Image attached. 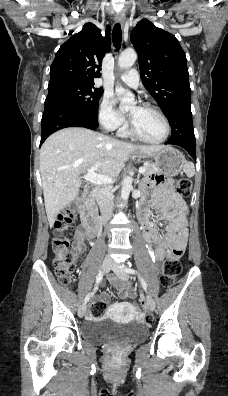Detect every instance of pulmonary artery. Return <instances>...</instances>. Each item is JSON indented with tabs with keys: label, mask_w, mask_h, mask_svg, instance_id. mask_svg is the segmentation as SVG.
I'll return each mask as SVG.
<instances>
[{
	"label": "pulmonary artery",
	"mask_w": 228,
	"mask_h": 396,
	"mask_svg": "<svg viewBox=\"0 0 228 396\" xmlns=\"http://www.w3.org/2000/svg\"><path fill=\"white\" fill-rule=\"evenodd\" d=\"M120 79L132 88H137L139 85V75L138 72L134 69L122 74Z\"/></svg>",
	"instance_id": "pulmonary-artery-1"
}]
</instances>
